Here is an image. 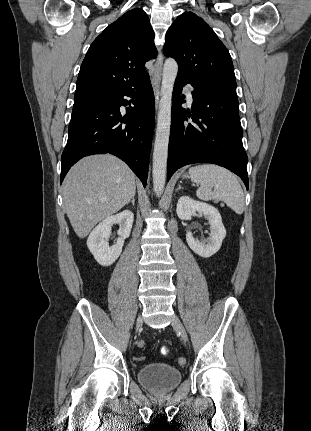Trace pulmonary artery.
<instances>
[{
  "instance_id": "obj_1",
  "label": "pulmonary artery",
  "mask_w": 311,
  "mask_h": 431,
  "mask_svg": "<svg viewBox=\"0 0 311 431\" xmlns=\"http://www.w3.org/2000/svg\"><path fill=\"white\" fill-rule=\"evenodd\" d=\"M184 91H185V93H186L189 101L192 102L193 101V95H192V88H191V86H189V85L185 86Z\"/></svg>"
}]
</instances>
